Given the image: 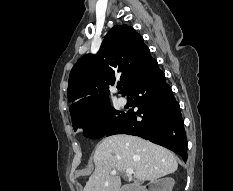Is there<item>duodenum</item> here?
<instances>
[{
    "instance_id": "obj_1",
    "label": "duodenum",
    "mask_w": 233,
    "mask_h": 191,
    "mask_svg": "<svg viewBox=\"0 0 233 191\" xmlns=\"http://www.w3.org/2000/svg\"><path fill=\"white\" fill-rule=\"evenodd\" d=\"M123 191H142L140 187L136 185H130L123 189Z\"/></svg>"
}]
</instances>
